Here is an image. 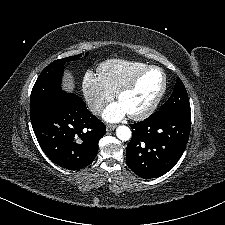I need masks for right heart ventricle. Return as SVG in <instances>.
<instances>
[{
	"instance_id": "obj_1",
	"label": "right heart ventricle",
	"mask_w": 225,
	"mask_h": 225,
	"mask_svg": "<svg viewBox=\"0 0 225 225\" xmlns=\"http://www.w3.org/2000/svg\"><path fill=\"white\" fill-rule=\"evenodd\" d=\"M146 66L139 61L109 59L99 65L98 72L105 86L115 94Z\"/></svg>"
}]
</instances>
